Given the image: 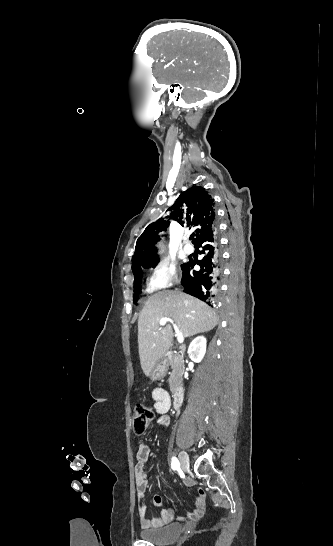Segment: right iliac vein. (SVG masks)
Wrapping results in <instances>:
<instances>
[{
	"label": "right iliac vein",
	"instance_id": "right-iliac-vein-1",
	"mask_svg": "<svg viewBox=\"0 0 333 546\" xmlns=\"http://www.w3.org/2000/svg\"><path fill=\"white\" fill-rule=\"evenodd\" d=\"M179 460L180 465L183 470H186L189 468V457L185 451H181L179 453Z\"/></svg>",
	"mask_w": 333,
	"mask_h": 546
}]
</instances>
